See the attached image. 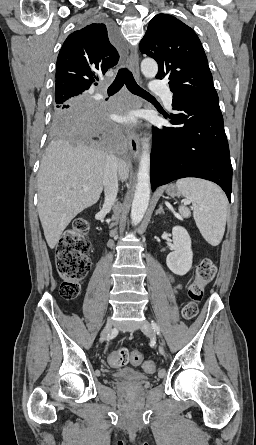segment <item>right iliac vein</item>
I'll return each instance as SVG.
<instances>
[{"instance_id": "right-iliac-vein-1", "label": "right iliac vein", "mask_w": 256, "mask_h": 445, "mask_svg": "<svg viewBox=\"0 0 256 445\" xmlns=\"http://www.w3.org/2000/svg\"><path fill=\"white\" fill-rule=\"evenodd\" d=\"M111 330H112V319L109 317L107 319V322H106L102 332H101L100 342H103L108 337V335L110 334Z\"/></svg>"}]
</instances>
